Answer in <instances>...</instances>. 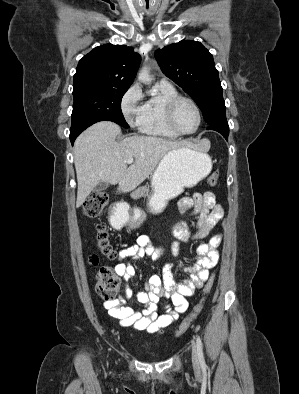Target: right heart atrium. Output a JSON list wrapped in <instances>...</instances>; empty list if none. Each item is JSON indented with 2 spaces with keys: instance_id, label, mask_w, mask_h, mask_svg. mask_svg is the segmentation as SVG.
I'll use <instances>...</instances> for the list:
<instances>
[{
  "instance_id": "obj_1",
  "label": "right heart atrium",
  "mask_w": 299,
  "mask_h": 394,
  "mask_svg": "<svg viewBox=\"0 0 299 394\" xmlns=\"http://www.w3.org/2000/svg\"><path fill=\"white\" fill-rule=\"evenodd\" d=\"M143 95L139 84H133L124 94L121 109L127 123L135 128L139 127L144 104Z\"/></svg>"
}]
</instances>
